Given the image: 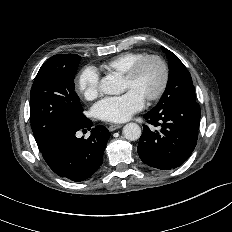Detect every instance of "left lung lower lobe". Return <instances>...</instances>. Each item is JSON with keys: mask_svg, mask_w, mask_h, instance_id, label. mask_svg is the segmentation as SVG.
I'll return each instance as SVG.
<instances>
[{"mask_svg": "<svg viewBox=\"0 0 232 232\" xmlns=\"http://www.w3.org/2000/svg\"><path fill=\"white\" fill-rule=\"evenodd\" d=\"M147 122L160 126L153 131L143 126L137 151L150 167L170 170L181 166L192 154L198 138L200 106L196 101L180 99L144 114Z\"/></svg>", "mask_w": 232, "mask_h": 232, "instance_id": "left-lung-lower-lobe-1", "label": "left lung lower lobe"}]
</instances>
